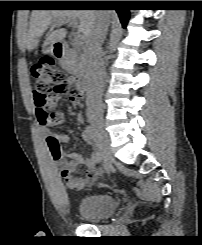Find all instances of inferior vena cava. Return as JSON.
I'll return each mask as SVG.
<instances>
[{"label": "inferior vena cava", "instance_id": "obj_1", "mask_svg": "<svg viewBox=\"0 0 202 245\" xmlns=\"http://www.w3.org/2000/svg\"><path fill=\"white\" fill-rule=\"evenodd\" d=\"M109 27V18L104 12H98L95 26L90 33L84 48V63L86 70L87 112L89 115L102 114V94L104 90L105 67L103 61L102 43Z\"/></svg>", "mask_w": 202, "mask_h": 245}]
</instances>
